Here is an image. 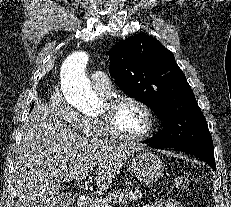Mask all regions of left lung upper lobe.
Returning <instances> with one entry per match:
<instances>
[{"label": "left lung upper lobe", "instance_id": "1", "mask_svg": "<svg viewBox=\"0 0 231 207\" xmlns=\"http://www.w3.org/2000/svg\"><path fill=\"white\" fill-rule=\"evenodd\" d=\"M110 74L129 96L147 104L163 121L149 141L156 146L213 147L204 115L175 57L157 39L139 34L109 51Z\"/></svg>", "mask_w": 231, "mask_h": 207}]
</instances>
